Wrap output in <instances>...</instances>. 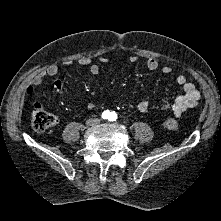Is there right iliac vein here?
<instances>
[{
	"label": "right iliac vein",
	"instance_id": "1",
	"mask_svg": "<svg viewBox=\"0 0 221 221\" xmlns=\"http://www.w3.org/2000/svg\"><path fill=\"white\" fill-rule=\"evenodd\" d=\"M86 124H87L88 126H91V125L94 124V120L89 119V120H87Z\"/></svg>",
	"mask_w": 221,
	"mask_h": 221
}]
</instances>
